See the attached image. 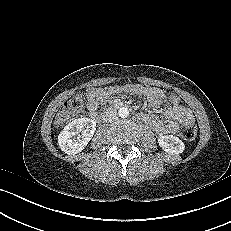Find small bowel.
Listing matches in <instances>:
<instances>
[{"mask_svg":"<svg viewBox=\"0 0 231 231\" xmlns=\"http://www.w3.org/2000/svg\"><path fill=\"white\" fill-rule=\"evenodd\" d=\"M131 92L138 97H143L152 110L164 107L161 115L141 113L140 118L146 122L154 132L161 136L174 134L182 125H189L194 122V116L190 109L182 105H171L167 95L158 88L141 85L111 86L107 89L90 88L87 90L88 109L94 115L103 102L111 95Z\"/></svg>","mask_w":231,"mask_h":231,"instance_id":"c3829d8e","label":"small bowel"}]
</instances>
